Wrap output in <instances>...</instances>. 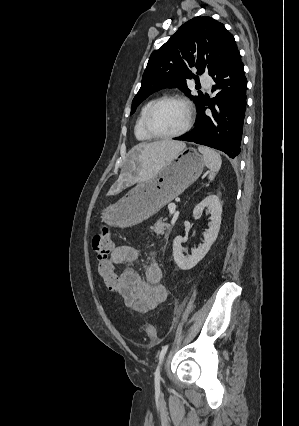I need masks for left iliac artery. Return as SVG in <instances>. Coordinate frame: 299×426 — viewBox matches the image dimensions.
Masks as SVG:
<instances>
[{
	"instance_id": "1",
	"label": "left iliac artery",
	"mask_w": 299,
	"mask_h": 426,
	"mask_svg": "<svg viewBox=\"0 0 299 426\" xmlns=\"http://www.w3.org/2000/svg\"><path fill=\"white\" fill-rule=\"evenodd\" d=\"M168 346H169L168 344L164 345L162 347V350H161L160 355H159V363H158V366H157L156 371H155V384H156V386H159V383H160V364H161V362L164 358V355H165V353L168 349Z\"/></svg>"
}]
</instances>
